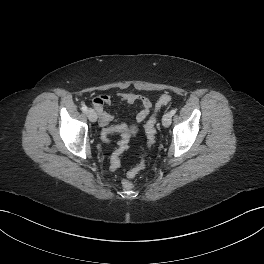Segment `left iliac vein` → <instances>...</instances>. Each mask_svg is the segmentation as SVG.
<instances>
[{
    "label": "left iliac vein",
    "mask_w": 264,
    "mask_h": 264,
    "mask_svg": "<svg viewBox=\"0 0 264 264\" xmlns=\"http://www.w3.org/2000/svg\"><path fill=\"white\" fill-rule=\"evenodd\" d=\"M172 121V115L170 113H165L162 118V124L164 127H169Z\"/></svg>",
    "instance_id": "left-iliac-vein-1"
}]
</instances>
